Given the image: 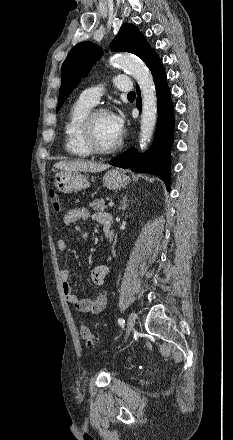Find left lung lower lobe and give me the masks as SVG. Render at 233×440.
Segmentation results:
<instances>
[{
    "label": "left lung lower lobe",
    "instance_id": "1",
    "mask_svg": "<svg viewBox=\"0 0 233 440\" xmlns=\"http://www.w3.org/2000/svg\"><path fill=\"white\" fill-rule=\"evenodd\" d=\"M147 67L152 72L157 92L158 122L154 143L145 154H139L134 148L128 149L125 153L114 158L110 164L121 168H130L137 173L154 174L164 181L169 190L174 110L166 74L157 54L149 60ZM137 93L140 95L138 87ZM137 108L141 111L140 97L137 98Z\"/></svg>",
    "mask_w": 233,
    "mask_h": 440
}]
</instances>
